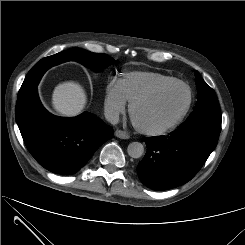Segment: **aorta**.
<instances>
[{
    "label": "aorta",
    "mask_w": 245,
    "mask_h": 245,
    "mask_svg": "<svg viewBox=\"0 0 245 245\" xmlns=\"http://www.w3.org/2000/svg\"><path fill=\"white\" fill-rule=\"evenodd\" d=\"M127 152L132 158H140L144 153V146L140 142H132L128 145Z\"/></svg>",
    "instance_id": "762f6f07"
}]
</instances>
